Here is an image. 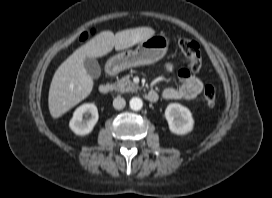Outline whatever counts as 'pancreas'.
I'll return each instance as SVG.
<instances>
[{"label": "pancreas", "instance_id": "1", "mask_svg": "<svg viewBox=\"0 0 272 198\" xmlns=\"http://www.w3.org/2000/svg\"><path fill=\"white\" fill-rule=\"evenodd\" d=\"M114 89L120 93L135 92L137 91V86L129 79L128 76H124L117 80L114 84Z\"/></svg>", "mask_w": 272, "mask_h": 198}]
</instances>
